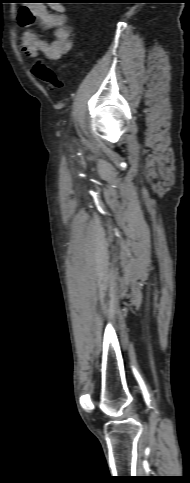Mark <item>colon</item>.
<instances>
[{"label": "colon", "mask_w": 190, "mask_h": 483, "mask_svg": "<svg viewBox=\"0 0 190 483\" xmlns=\"http://www.w3.org/2000/svg\"><path fill=\"white\" fill-rule=\"evenodd\" d=\"M33 74L50 89H60L63 86L58 75L43 62L34 65Z\"/></svg>", "instance_id": "colon-1"}]
</instances>
